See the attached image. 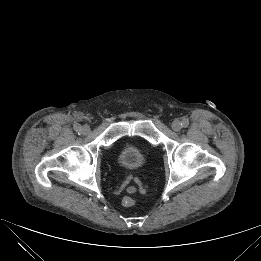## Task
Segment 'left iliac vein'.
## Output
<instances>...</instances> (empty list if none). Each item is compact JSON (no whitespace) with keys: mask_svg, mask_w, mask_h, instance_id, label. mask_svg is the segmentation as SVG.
<instances>
[{"mask_svg":"<svg viewBox=\"0 0 261 261\" xmlns=\"http://www.w3.org/2000/svg\"><path fill=\"white\" fill-rule=\"evenodd\" d=\"M172 129L176 132H179L182 129L181 122L179 120H174L172 122Z\"/></svg>","mask_w":261,"mask_h":261,"instance_id":"obj_1","label":"left iliac vein"}]
</instances>
